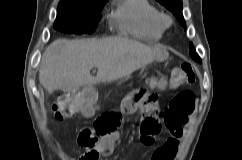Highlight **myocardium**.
Here are the masks:
<instances>
[{"label": "myocardium", "mask_w": 242, "mask_h": 160, "mask_svg": "<svg viewBox=\"0 0 242 160\" xmlns=\"http://www.w3.org/2000/svg\"><path fill=\"white\" fill-rule=\"evenodd\" d=\"M160 19H161L162 24L165 27L171 25V23H172L171 17L169 15H167V14L161 13V18Z\"/></svg>", "instance_id": "1"}]
</instances>
